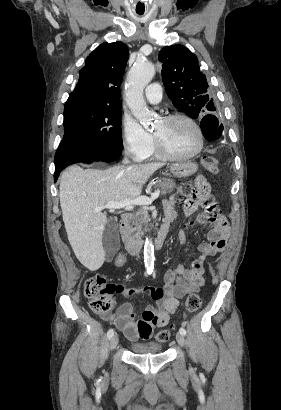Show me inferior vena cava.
Masks as SVG:
<instances>
[{"label":"inferior vena cava","instance_id":"obj_1","mask_svg":"<svg viewBox=\"0 0 281 410\" xmlns=\"http://www.w3.org/2000/svg\"><path fill=\"white\" fill-rule=\"evenodd\" d=\"M123 163H124V164H129L130 162H129V160H128L127 158H125V159L123 160Z\"/></svg>","mask_w":281,"mask_h":410}]
</instances>
